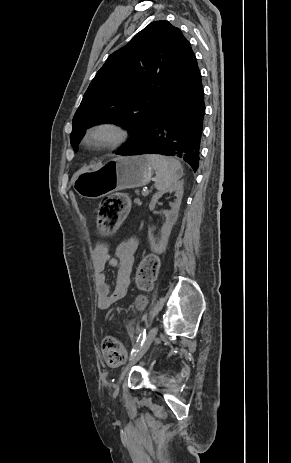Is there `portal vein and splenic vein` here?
Instances as JSON below:
<instances>
[{"mask_svg":"<svg viewBox=\"0 0 291 463\" xmlns=\"http://www.w3.org/2000/svg\"><path fill=\"white\" fill-rule=\"evenodd\" d=\"M148 193H149V192H148L147 190H143V191H142V195H143V196H147Z\"/></svg>","mask_w":291,"mask_h":463,"instance_id":"portal-vein-and-splenic-vein-1","label":"portal vein and splenic vein"}]
</instances>
